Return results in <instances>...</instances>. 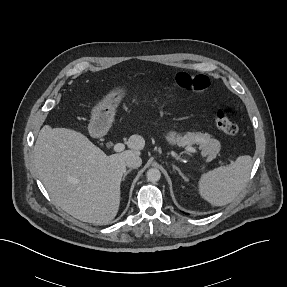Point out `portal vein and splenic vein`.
Returning a JSON list of instances; mask_svg holds the SVG:
<instances>
[{
    "label": "portal vein and splenic vein",
    "instance_id": "portal-vein-and-splenic-vein-1",
    "mask_svg": "<svg viewBox=\"0 0 287 287\" xmlns=\"http://www.w3.org/2000/svg\"><path fill=\"white\" fill-rule=\"evenodd\" d=\"M124 149H125V145L123 143H117V144H115L113 146V150L115 152H121ZM185 150L188 151V152H192V153H196L197 152V150L194 147H192V146H186Z\"/></svg>",
    "mask_w": 287,
    "mask_h": 287
}]
</instances>
